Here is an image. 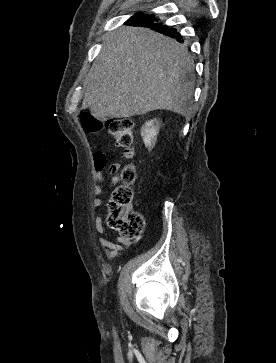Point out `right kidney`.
<instances>
[{"mask_svg":"<svg viewBox=\"0 0 276 363\" xmlns=\"http://www.w3.org/2000/svg\"><path fill=\"white\" fill-rule=\"evenodd\" d=\"M159 128V122L157 119L147 121L141 128L143 142L149 150L155 145Z\"/></svg>","mask_w":276,"mask_h":363,"instance_id":"obj_1","label":"right kidney"}]
</instances>
